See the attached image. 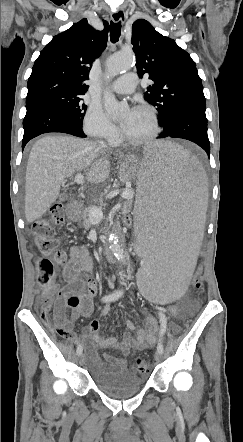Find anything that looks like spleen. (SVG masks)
<instances>
[{"instance_id": "3e777b00", "label": "spleen", "mask_w": 243, "mask_h": 442, "mask_svg": "<svg viewBox=\"0 0 243 442\" xmlns=\"http://www.w3.org/2000/svg\"><path fill=\"white\" fill-rule=\"evenodd\" d=\"M136 172V237H151L141 240L136 291L166 307L183 302L190 286L204 233L206 178L198 159L170 141L145 145Z\"/></svg>"}]
</instances>
